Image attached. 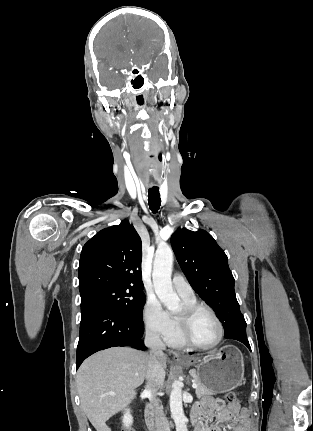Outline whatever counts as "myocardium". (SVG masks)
<instances>
[{
	"instance_id": "1",
	"label": "myocardium",
	"mask_w": 313,
	"mask_h": 431,
	"mask_svg": "<svg viewBox=\"0 0 313 431\" xmlns=\"http://www.w3.org/2000/svg\"><path fill=\"white\" fill-rule=\"evenodd\" d=\"M201 311L208 312L213 317V319L215 320L218 326V330H219L218 338L214 343L210 345L197 344L190 337L189 331H190L192 320ZM175 319L178 326V333L183 344L190 348L198 349V350L214 349L221 344L224 338V327H223L222 321L220 320L216 312L212 308L206 305L197 304V303L185 304L182 308V311L175 316Z\"/></svg>"
}]
</instances>
